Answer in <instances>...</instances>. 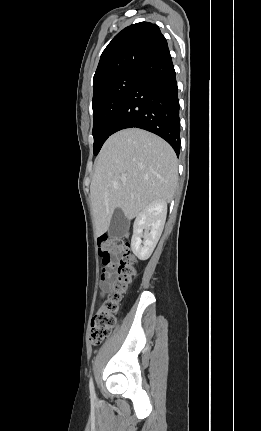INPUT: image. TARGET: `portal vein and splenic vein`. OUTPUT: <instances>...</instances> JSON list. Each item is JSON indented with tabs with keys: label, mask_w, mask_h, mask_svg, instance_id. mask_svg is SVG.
<instances>
[{
	"label": "portal vein and splenic vein",
	"mask_w": 261,
	"mask_h": 431,
	"mask_svg": "<svg viewBox=\"0 0 261 431\" xmlns=\"http://www.w3.org/2000/svg\"><path fill=\"white\" fill-rule=\"evenodd\" d=\"M122 181H123V182H125L126 180H125V179H123Z\"/></svg>",
	"instance_id": "portal-vein-and-splenic-vein-1"
}]
</instances>
